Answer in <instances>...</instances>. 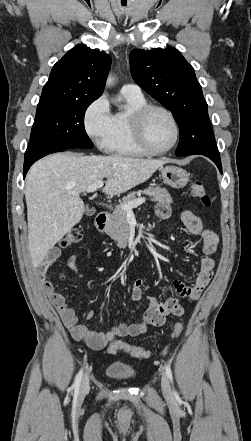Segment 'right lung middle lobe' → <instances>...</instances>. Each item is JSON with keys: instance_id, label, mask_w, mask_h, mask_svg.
<instances>
[{"instance_id": "dd1d6c3e", "label": "right lung middle lobe", "mask_w": 251, "mask_h": 441, "mask_svg": "<svg viewBox=\"0 0 251 441\" xmlns=\"http://www.w3.org/2000/svg\"><path fill=\"white\" fill-rule=\"evenodd\" d=\"M96 99L39 102L30 142L68 149L92 148L84 128V114Z\"/></svg>"}]
</instances>
